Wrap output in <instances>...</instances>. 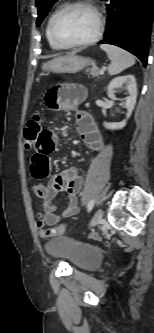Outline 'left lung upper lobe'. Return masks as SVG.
<instances>
[{
	"label": "left lung upper lobe",
	"mask_w": 154,
	"mask_h": 333,
	"mask_svg": "<svg viewBox=\"0 0 154 333\" xmlns=\"http://www.w3.org/2000/svg\"><path fill=\"white\" fill-rule=\"evenodd\" d=\"M56 1L57 0H36V6L38 8L37 26L41 24L48 11Z\"/></svg>",
	"instance_id": "5c2ea615"
}]
</instances>
